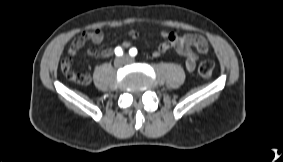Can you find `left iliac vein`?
Masks as SVG:
<instances>
[{
	"label": "left iliac vein",
	"instance_id": "4c4485c4",
	"mask_svg": "<svg viewBox=\"0 0 283 162\" xmlns=\"http://www.w3.org/2000/svg\"><path fill=\"white\" fill-rule=\"evenodd\" d=\"M126 60H127V61H132V60H131V59H129V58H126Z\"/></svg>",
	"mask_w": 283,
	"mask_h": 162
}]
</instances>
